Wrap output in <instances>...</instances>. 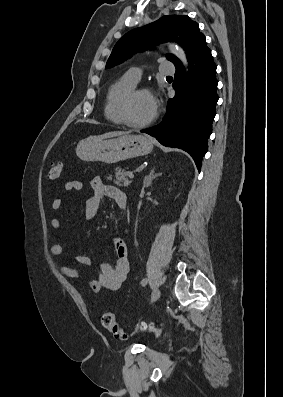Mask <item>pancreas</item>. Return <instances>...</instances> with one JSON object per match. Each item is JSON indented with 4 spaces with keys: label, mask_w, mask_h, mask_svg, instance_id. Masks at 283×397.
I'll use <instances>...</instances> for the list:
<instances>
[{
    "label": "pancreas",
    "mask_w": 283,
    "mask_h": 397,
    "mask_svg": "<svg viewBox=\"0 0 283 397\" xmlns=\"http://www.w3.org/2000/svg\"><path fill=\"white\" fill-rule=\"evenodd\" d=\"M127 172L121 168H116L115 169V174H114V184L118 186H124L125 188L128 187L131 183L132 180L128 179L127 177ZM112 177L109 176L108 179H111Z\"/></svg>",
    "instance_id": "obj_1"
}]
</instances>
